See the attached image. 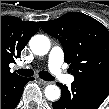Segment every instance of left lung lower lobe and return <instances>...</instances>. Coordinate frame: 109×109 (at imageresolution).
<instances>
[{
	"instance_id": "obj_1",
	"label": "left lung lower lobe",
	"mask_w": 109,
	"mask_h": 109,
	"mask_svg": "<svg viewBox=\"0 0 109 109\" xmlns=\"http://www.w3.org/2000/svg\"><path fill=\"white\" fill-rule=\"evenodd\" d=\"M61 98L52 103L53 109H97L109 94V90L90 83L76 81L71 88L58 83Z\"/></svg>"
}]
</instances>
